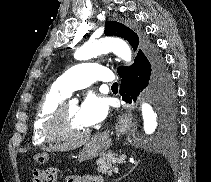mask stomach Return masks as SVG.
<instances>
[{
    "instance_id": "obj_1",
    "label": "stomach",
    "mask_w": 211,
    "mask_h": 182,
    "mask_svg": "<svg viewBox=\"0 0 211 182\" xmlns=\"http://www.w3.org/2000/svg\"><path fill=\"white\" fill-rule=\"evenodd\" d=\"M111 145V138L108 133H101L93 136L83 147L78 155V161H87L95 158L108 149Z\"/></svg>"
}]
</instances>
